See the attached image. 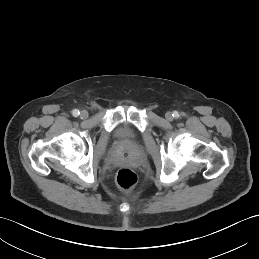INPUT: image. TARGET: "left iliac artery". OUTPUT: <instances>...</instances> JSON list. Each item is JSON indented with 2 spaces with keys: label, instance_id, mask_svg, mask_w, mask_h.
<instances>
[{
  "label": "left iliac artery",
  "instance_id": "44dca946",
  "mask_svg": "<svg viewBox=\"0 0 259 259\" xmlns=\"http://www.w3.org/2000/svg\"><path fill=\"white\" fill-rule=\"evenodd\" d=\"M173 117H175V118H178V117H179V114H178L177 111H175V112L173 113Z\"/></svg>",
  "mask_w": 259,
  "mask_h": 259
}]
</instances>
